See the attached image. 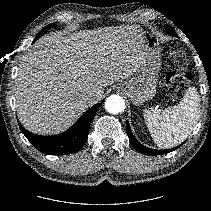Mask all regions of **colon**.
Segmentation results:
<instances>
[{
	"mask_svg": "<svg viewBox=\"0 0 211 211\" xmlns=\"http://www.w3.org/2000/svg\"><path fill=\"white\" fill-rule=\"evenodd\" d=\"M186 56L179 45H172L167 53L168 73L165 76V84L174 97H181L186 91L191 75L185 71Z\"/></svg>",
	"mask_w": 211,
	"mask_h": 211,
	"instance_id": "5ec220e1",
	"label": "colon"
}]
</instances>
